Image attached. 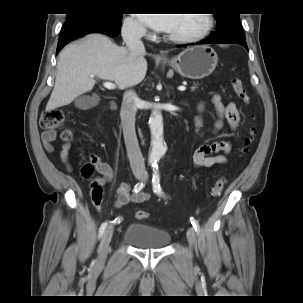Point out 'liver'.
<instances>
[{"label": "liver", "instance_id": "6515ba94", "mask_svg": "<svg viewBox=\"0 0 303 303\" xmlns=\"http://www.w3.org/2000/svg\"><path fill=\"white\" fill-rule=\"evenodd\" d=\"M145 52L134 60L128 49L114 44L102 34H90L66 46L59 55L55 86L46 111L69 105L78 96L91 91L94 75L114 81L119 89L139 84L146 76Z\"/></svg>", "mask_w": 303, "mask_h": 303}]
</instances>
